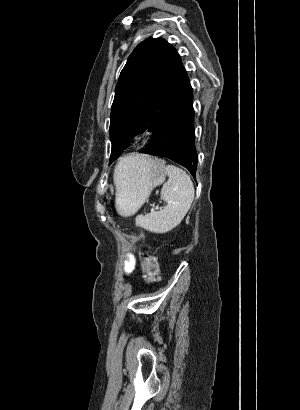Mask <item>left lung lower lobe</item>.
<instances>
[{
    "label": "left lung lower lobe",
    "mask_w": 300,
    "mask_h": 410,
    "mask_svg": "<svg viewBox=\"0 0 300 410\" xmlns=\"http://www.w3.org/2000/svg\"><path fill=\"white\" fill-rule=\"evenodd\" d=\"M192 104L193 91L189 82L182 98L165 114L153 131L149 146L140 152L169 158L186 167L195 178L197 152Z\"/></svg>",
    "instance_id": "left-lung-lower-lobe-1"
}]
</instances>
